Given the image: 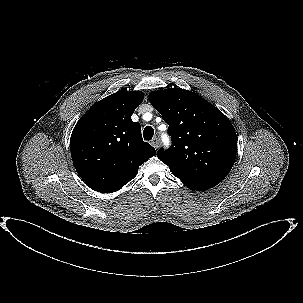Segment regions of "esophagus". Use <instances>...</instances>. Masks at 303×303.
<instances>
[{"instance_id": "34e87169", "label": "esophagus", "mask_w": 303, "mask_h": 303, "mask_svg": "<svg viewBox=\"0 0 303 303\" xmlns=\"http://www.w3.org/2000/svg\"><path fill=\"white\" fill-rule=\"evenodd\" d=\"M151 145H152L155 149H157L158 146H159V139H158V138L152 139Z\"/></svg>"}]
</instances>
